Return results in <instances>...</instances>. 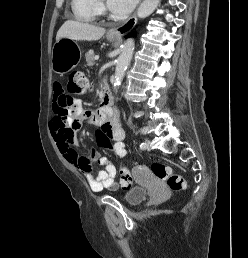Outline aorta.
Returning <instances> with one entry per match:
<instances>
[{"mask_svg":"<svg viewBox=\"0 0 248 258\" xmlns=\"http://www.w3.org/2000/svg\"><path fill=\"white\" fill-rule=\"evenodd\" d=\"M160 0H144L139 6L137 15L139 18H145L149 16L159 5ZM134 40L132 38L127 39L124 42L122 51L118 57L115 75H114V90H117L121 85L122 79L125 75V71L132 59L134 50Z\"/></svg>","mask_w":248,"mask_h":258,"instance_id":"obj_1","label":"aorta"}]
</instances>
